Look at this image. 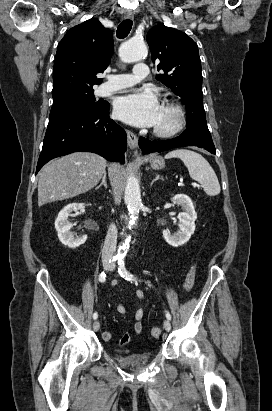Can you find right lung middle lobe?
<instances>
[{
  "mask_svg": "<svg viewBox=\"0 0 272 411\" xmlns=\"http://www.w3.org/2000/svg\"><path fill=\"white\" fill-rule=\"evenodd\" d=\"M92 88L72 92L68 97L54 101L49 120L88 109L100 108L104 102L96 101Z\"/></svg>",
  "mask_w": 272,
  "mask_h": 411,
  "instance_id": "right-lung-middle-lobe-1",
  "label": "right lung middle lobe"
}]
</instances>
